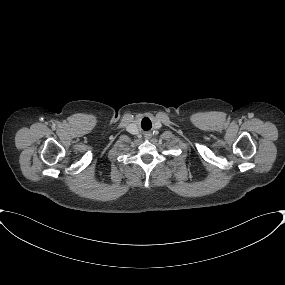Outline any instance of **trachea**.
<instances>
[{"mask_svg": "<svg viewBox=\"0 0 285 285\" xmlns=\"http://www.w3.org/2000/svg\"><path fill=\"white\" fill-rule=\"evenodd\" d=\"M149 123H150V124H149ZM149 123H148V127H146L145 130H149V129L151 128V122L149 121Z\"/></svg>", "mask_w": 285, "mask_h": 285, "instance_id": "3493384b", "label": "trachea"}]
</instances>
